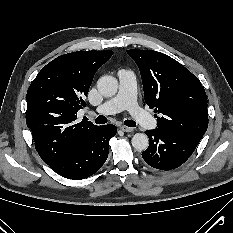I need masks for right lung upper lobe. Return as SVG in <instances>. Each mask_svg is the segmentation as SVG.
<instances>
[{
  "label": "right lung upper lobe",
  "instance_id": "obj_1",
  "mask_svg": "<svg viewBox=\"0 0 233 233\" xmlns=\"http://www.w3.org/2000/svg\"><path fill=\"white\" fill-rule=\"evenodd\" d=\"M113 51H77L57 57L41 69L27 92L26 123L46 164L75 150L100 126L76 123L96 71Z\"/></svg>",
  "mask_w": 233,
  "mask_h": 233
}]
</instances>
